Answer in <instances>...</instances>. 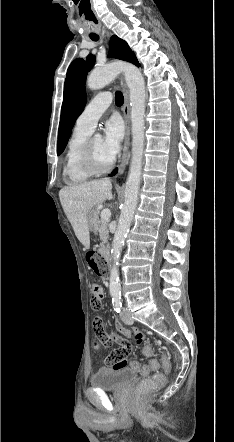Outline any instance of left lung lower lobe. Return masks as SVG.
Here are the masks:
<instances>
[{
    "instance_id": "obj_1",
    "label": "left lung lower lobe",
    "mask_w": 234,
    "mask_h": 442,
    "mask_svg": "<svg viewBox=\"0 0 234 442\" xmlns=\"http://www.w3.org/2000/svg\"><path fill=\"white\" fill-rule=\"evenodd\" d=\"M138 66H140V65H138ZM116 174V170L111 174V176H113V175H115Z\"/></svg>"
}]
</instances>
